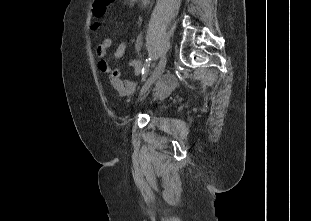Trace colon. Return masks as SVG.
I'll return each mask as SVG.
<instances>
[{
    "instance_id": "5ec220e1",
    "label": "colon",
    "mask_w": 311,
    "mask_h": 221,
    "mask_svg": "<svg viewBox=\"0 0 311 221\" xmlns=\"http://www.w3.org/2000/svg\"><path fill=\"white\" fill-rule=\"evenodd\" d=\"M114 0H96L92 1L93 17H108L109 5L113 4Z\"/></svg>"
}]
</instances>
